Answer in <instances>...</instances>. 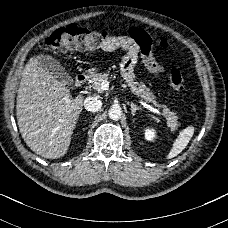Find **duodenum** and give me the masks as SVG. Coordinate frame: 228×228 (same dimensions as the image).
<instances>
[{
	"label": "duodenum",
	"instance_id": "obj_1",
	"mask_svg": "<svg viewBox=\"0 0 228 228\" xmlns=\"http://www.w3.org/2000/svg\"><path fill=\"white\" fill-rule=\"evenodd\" d=\"M87 81V77L84 73H79L74 79V84L77 87H82Z\"/></svg>",
	"mask_w": 228,
	"mask_h": 228
}]
</instances>
